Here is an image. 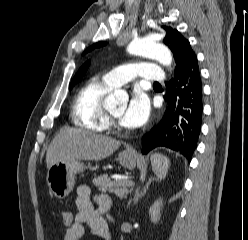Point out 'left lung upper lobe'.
Instances as JSON below:
<instances>
[{
  "label": "left lung upper lobe",
  "mask_w": 248,
  "mask_h": 240,
  "mask_svg": "<svg viewBox=\"0 0 248 240\" xmlns=\"http://www.w3.org/2000/svg\"><path fill=\"white\" fill-rule=\"evenodd\" d=\"M162 28L166 32L163 43L167 45L173 53L176 63L174 74H177L181 71L184 65L195 55V53L192 50L189 41L179 31L167 26H162ZM104 45V42L94 44L93 46L89 47L84 52V54L92 50L93 48Z\"/></svg>",
  "instance_id": "left-lung-upper-lobe-1"
}]
</instances>
